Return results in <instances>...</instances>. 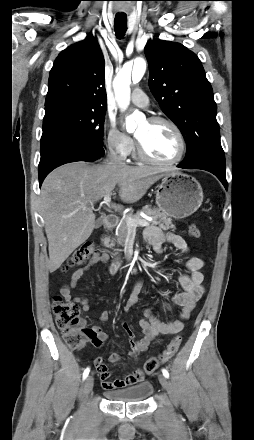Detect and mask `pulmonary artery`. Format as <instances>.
Listing matches in <instances>:
<instances>
[{
	"instance_id": "pulmonary-artery-1",
	"label": "pulmonary artery",
	"mask_w": 254,
	"mask_h": 440,
	"mask_svg": "<svg viewBox=\"0 0 254 440\" xmlns=\"http://www.w3.org/2000/svg\"><path fill=\"white\" fill-rule=\"evenodd\" d=\"M131 101L139 107H146L149 103L148 97L140 88H136L133 90L131 95Z\"/></svg>"
}]
</instances>
